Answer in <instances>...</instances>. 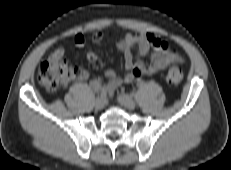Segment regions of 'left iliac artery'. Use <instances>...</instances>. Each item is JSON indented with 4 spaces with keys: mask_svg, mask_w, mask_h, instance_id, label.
I'll return each mask as SVG.
<instances>
[{
    "mask_svg": "<svg viewBox=\"0 0 231 170\" xmlns=\"http://www.w3.org/2000/svg\"><path fill=\"white\" fill-rule=\"evenodd\" d=\"M143 84H144V82L143 81H140V82H138V87H142L143 86Z\"/></svg>",
    "mask_w": 231,
    "mask_h": 170,
    "instance_id": "44dca946",
    "label": "left iliac artery"
}]
</instances>
